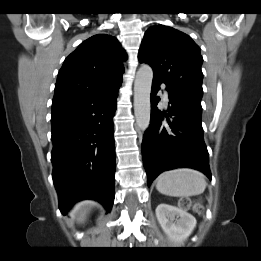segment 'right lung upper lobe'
Listing matches in <instances>:
<instances>
[{"label": "right lung upper lobe", "mask_w": 261, "mask_h": 261, "mask_svg": "<svg viewBox=\"0 0 261 261\" xmlns=\"http://www.w3.org/2000/svg\"><path fill=\"white\" fill-rule=\"evenodd\" d=\"M126 58L115 37L97 34L88 38L65 59L53 103L119 88Z\"/></svg>", "instance_id": "obj_1"}]
</instances>
